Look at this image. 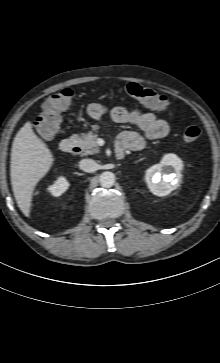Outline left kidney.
I'll return each instance as SVG.
<instances>
[{"label":"left kidney","instance_id":"1","mask_svg":"<svg viewBox=\"0 0 220 363\" xmlns=\"http://www.w3.org/2000/svg\"><path fill=\"white\" fill-rule=\"evenodd\" d=\"M182 168L183 163L176 155H164L159 164L146 170L145 181L148 188L156 196L168 195L175 189Z\"/></svg>","mask_w":220,"mask_h":363}]
</instances>
